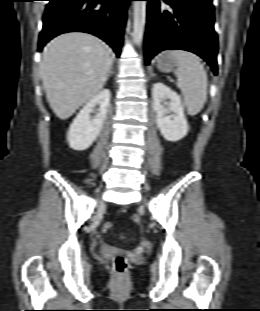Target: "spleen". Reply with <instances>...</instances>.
<instances>
[{
	"label": "spleen",
	"instance_id": "obj_1",
	"mask_svg": "<svg viewBox=\"0 0 260 311\" xmlns=\"http://www.w3.org/2000/svg\"><path fill=\"white\" fill-rule=\"evenodd\" d=\"M169 56L177 63L175 75L177 86L184 96V105L189 115L198 114L207 100V74L197 56L191 52L174 50Z\"/></svg>",
	"mask_w": 260,
	"mask_h": 311
}]
</instances>
